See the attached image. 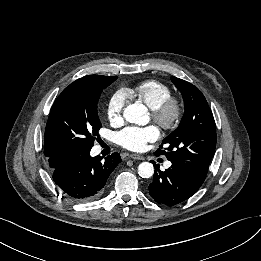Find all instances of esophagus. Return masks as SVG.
<instances>
[{"instance_id":"34e87169","label":"esophagus","mask_w":261,"mask_h":261,"mask_svg":"<svg viewBox=\"0 0 261 261\" xmlns=\"http://www.w3.org/2000/svg\"><path fill=\"white\" fill-rule=\"evenodd\" d=\"M129 157L132 158V159H136V160H144L145 159L142 155H139V154H130Z\"/></svg>"}]
</instances>
